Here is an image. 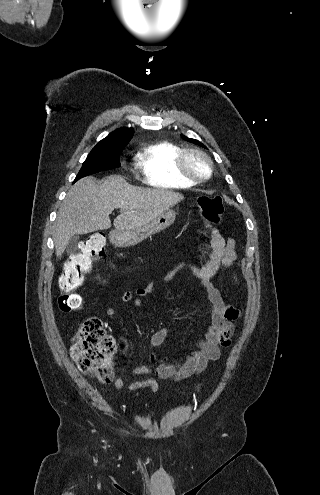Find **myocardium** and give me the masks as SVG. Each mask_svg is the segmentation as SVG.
Segmentation results:
<instances>
[{"label": "myocardium", "instance_id": "f54148a6", "mask_svg": "<svg viewBox=\"0 0 320 495\" xmlns=\"http://www.w3.org/2000/svg\"><path fill=\"white\" fill-rule=\"evenodd\" d=\"M191 155H197L201 157L207 164V173L205 175H197L193 173L188 167V158ZM176 168L178 173L193 183H201L209 179L213 173V162L210 156L202 149L196 147H187L181 149L176 159Z\"/></svg>", "mask_w": 320, "mask_h": 495}]
</instances>
